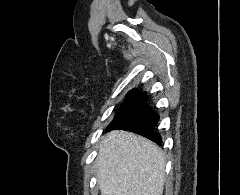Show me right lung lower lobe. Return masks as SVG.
I'll use <instances>...</instances> for the list:
<instances>
[{"label": "right lung lower lobe", "instance_id": "right-lung-lower-lobe-1", "mask_svg": "<svg viewBox=\"0 0 240 195\" xmlns=\"http://www.w3.org/2000/svg\"><path fill=\"white\" fill-rule=\"evenodd\" d=\"M158 121L159 116L145 101L142 107L128 115L118 124L109 128L108 131L113 129L130 130L134 133L146 136L148 139L159 144L161 142V137L159 133L155 132Z\"/></svg>", "mask_w": 240, "mask_h": 195}]
</instances>
